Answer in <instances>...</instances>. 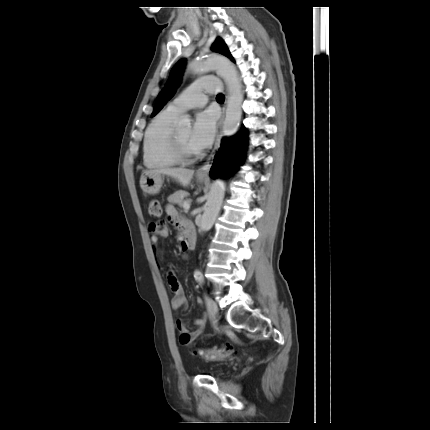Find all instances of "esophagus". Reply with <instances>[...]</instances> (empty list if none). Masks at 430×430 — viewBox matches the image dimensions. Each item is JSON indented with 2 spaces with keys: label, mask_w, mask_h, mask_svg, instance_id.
Instances as JSON below:
<instances>
[{
  "label": "esophagus",
  "mask_w": 430,
  "mask_h": 430,
  "mask_svg": "<svg viewBox=\"0 0 430 430\" xmlns=\"http://www.w3.org/2000/svg\"><path fill=\"white\" fill-rule=\"evenodd\" d=\"M227 99H228V95L226 93V100ZM225 107L226 106L224 105V107H223V116H222V119H221V121H220V123L218 125L217 136H216L214 148H213L210 156L208 157L207 161L201 167L198 168V170L196 172L197 175H200V176H207L208 175V172H209V170H210V168L212 166L213 159H214L215 155L217 154V152H218V150L220 148L221 138H222V124H223V120H224Z\"/></svg>",
  "instance_id": "obj_1"
}]
</instances>
